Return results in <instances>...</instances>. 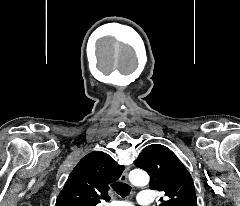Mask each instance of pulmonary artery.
<instances>
[{
	"label": "pulmonary artery",
	"mask_w": 240,
	"mask_h": 206,
	"mask_svg": "<svg viewBox=\"0 0 240 206\" xmlns=\"http://www.w3.org/2000/svg\"><path fill=\"white\" fill-rule=\"evenodd\" d=\"M153 201L152 192L149 190H143L139 192L137 196L138 204L142 206L150 205ZM109 206H134L132 203L127 201H115L112 202Z\"/></svg>",
	"instance_id": "obj_1"
}]
</instances>
